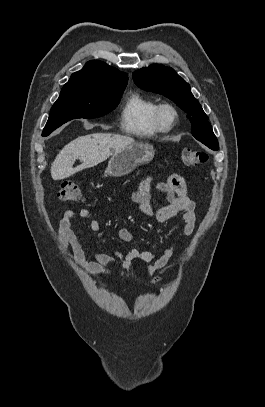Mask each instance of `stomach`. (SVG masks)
Instances as JSON below:
<instances>
[{
	"instance_id": "0dacf381",
	"label": "stomach",
	"mask_w": 265,
	"mask_h": 407,
	"mask_svg": "<svg viewBox=\"0 0 265 407\" xmlns=\"http://www.w3.org/2000/svg\"><path fill=\"white\" fill-rule=\"evenodd\" d=\"M154 157L153 146L148 143H134L115 152L108 162L104 175L124 176L139 164L149 163Z\"/></svg>"
}]
</instances>
